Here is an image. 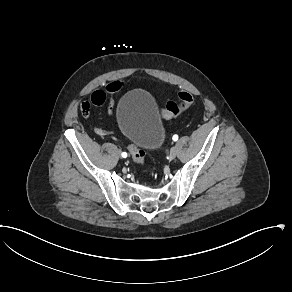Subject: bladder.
Wrapping results in <instances>:
<instances>
[{
	"label": "bladder",
	"instance_id": "bladder-1",
	"mask_svg": "<svg viewBox=\"0 0 292 292\" xmlns=\"http://www.w3.org/2000/svg\"><path fill=\"white\" fill-rule=\"evenodd\" d=\"M122 134L140 149L154 150L164 139V126L153 96L144 89H133L120 100L116 111Z\"/></svg>",
	"mask_w": 292,
	"mask_h": 292
}]
</instances>
